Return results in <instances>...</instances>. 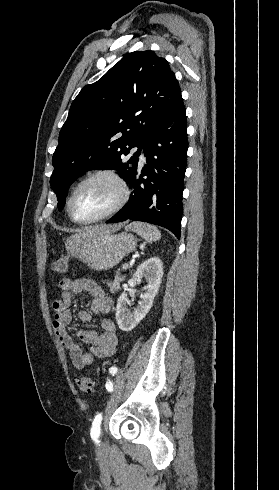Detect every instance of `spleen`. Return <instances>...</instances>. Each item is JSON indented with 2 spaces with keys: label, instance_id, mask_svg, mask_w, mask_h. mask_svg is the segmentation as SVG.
<instances>
[{
  "label": "spleen",
  "instance_id": "obj_1",
  "mask_svg": "<svg viewBox=\"0 0 279 490\" xmlns=\"http://www.w3.org/2000/svg\"><path fill=\"white\" fill-rule=\"evenodd\" d=\"M125 230H130V232H136L141 238L147 240V242H156L160 238V232H158L155 226H150V224H144V222H132L129 226H126ZM159 234L156 238V234Z\"/></svg>",
  "mask_w": 279,
  "mask_h": 490
}]
</instances>
